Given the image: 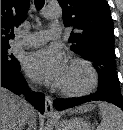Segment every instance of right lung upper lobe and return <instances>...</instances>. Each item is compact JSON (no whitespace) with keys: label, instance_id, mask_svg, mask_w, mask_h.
Here are the masks:
<instances>
[{"label":"right lung upper lobe","instance_id":"obj_1","mask_svg":"<svg viewBox=\"0 0 123 130\" xmlns=\"http://www.w3.org/2000/svg\"><path fill=\"white\" fill-rule=\"evenodd\" d=\"M30 0H1V44L14 38V29L26 16Z\"/></svg>","mask_w":123,"mask_h":130}]
</instances>
